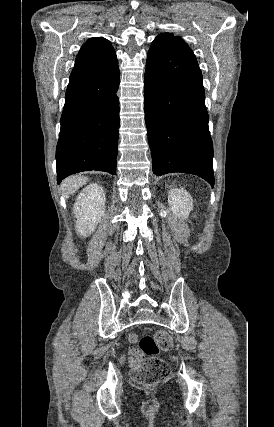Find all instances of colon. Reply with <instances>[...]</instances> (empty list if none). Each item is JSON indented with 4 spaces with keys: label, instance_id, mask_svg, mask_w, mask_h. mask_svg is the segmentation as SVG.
Here are the masks:
<instances>
[{
    "label": "colon",
    "instance_id": "5ec220e1",
    "mask_svg": "<svg viewBox=\"0 0 274 427\" xmlns=\"http://www.w3.org/2000/svg\"><path fill=\"white\" fill-rule=\"evenodd\" d=\"M171 347V336L162 330L141 336L138 345L134 346L129 354L132 381L143 386L166 381L171 376V367L157 355Z\"/></svg>",
    "mask_w": 274,
    "mask_h": 427
}]
</instances>
